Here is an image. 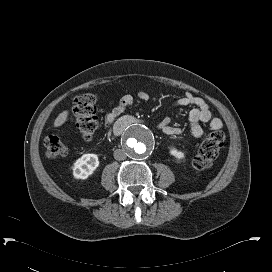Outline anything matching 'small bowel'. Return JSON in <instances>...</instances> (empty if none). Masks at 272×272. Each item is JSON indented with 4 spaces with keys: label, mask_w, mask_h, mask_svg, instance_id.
I'll list each match as a JSON object with an SVG mask.
<instances>
[{
    "label": "small bowel",
    "mask_w": 272,
    "mask_h": 272,
    "mask_svg": "<svg viewBox=\"0 0 272 272\" xmlns=\"http://www.w3.org/2000/svg\"><path fill=\"white\" fill-rule=\"evenodd\" d=\"M137 98L141 101H148L150 95L144 91L137 93ZM134 97L132 95H124L120 98L117 105L113 106L107 116L106 123L111 126L116 119L122 114V112L132 105ZM192 106L193 108L189 112V123L191 134L195 139H200L203 135V129L201 123L208 124L213 130L222 128V121L217 117H212V113L207 102L190 92H187L184 97L174 103V107ZM159 129L167 135H178L183 132L179 127L171 125V118L165 117L159 124Z\"/></svg>",
    "instance_id": "small-bowel-1"
}]
</instances>
